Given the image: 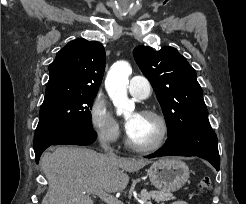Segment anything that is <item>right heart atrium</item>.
Segmentation results:
<instances>
[{
    "instance_id": "obj_1",
    "label": "right heart atrium",
    "mask_w": 246,
    "mask_h": 204,
    "mask_svg": "<svg viewBox=\"0 0 246 204\" xmlns=\"http://www.w3.org/2000/svg\"><path fill=\"white\" fill-rule=\"evenodd\" d=\"M91 126L103 143H114L120 136V125L101 97H96L90 109Z\"/></svg>"
}]
</instances>
